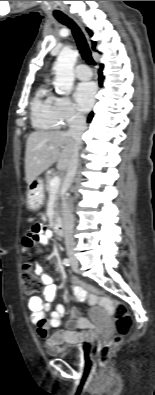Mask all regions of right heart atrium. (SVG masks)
Wrapping results in <instances>:
<instances>
[{
	"label": "right heart atrium",
	"mask_w": 155,
	"mask_h": 395,
	"mask_svg": "<svg viewBox=\"0 0 155 395\" xmlns=\"http://www.w3.org/2000/svg\"><path fill=\"white\" fill-rule=\"evenodd\" d=\"M54 115L58 127L69 126L82 120L81 114L68 97H55Z\"/></svg>",
	"instance_id": "d8ad5b80"
}]
</instances>
